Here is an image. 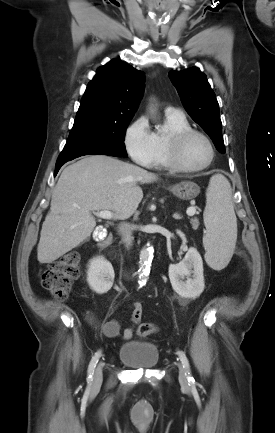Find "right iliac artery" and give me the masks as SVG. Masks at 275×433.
Listing matches in <instances>:
<instances>
[{
  "instance_id": "right-iliac-artery-1",
  "label": "right iliac artery",
  "mask_w": 275,
  "mask_h": 433,
  "mask_svg": "<svg viewBox=\"0 0 275 433\" xmlns=\"http://www.w3.org/2000/svg\"><path fill=\"white\" fill-rule=\"evenodd\" d=\"M101 356V351H98L95 353V355L92 357L89 366H88V375H87V381L91 382L93 381V373L94 369L96 367V364Z\"/></svg>"
}]
</instances>
